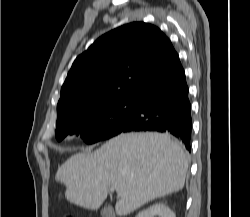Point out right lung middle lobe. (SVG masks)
I'll list each match as a JSON object with an SVG mask.
<instances>
[{"label":"right lung middle lobe","instance_id":"right-lung-middle-lobe-1","mask_svg":"<svg viewBox=\"0 0 250 217\" xmlns=\"http://www.w3.org/2000/svg\"><path fill=\"white\" fill-rule=\"evenodd\" d=\"M133 99L105 102L81 110L56 124V139L79 135L87 144L119 134L133 117Z\"/></svg>","mask_w":250,"mask_h":217}]
</instances>
